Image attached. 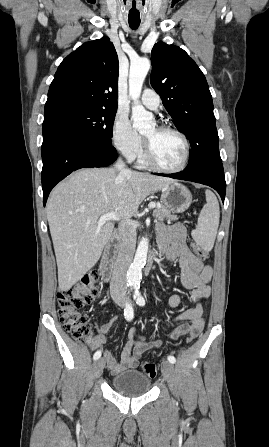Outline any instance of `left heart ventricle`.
Wrapping results in <instances>:
<instances>
[{
    "label": "left heart ventricle",
    "mask_w": 269,
    "mask_h": 447,
    "mask_svg": "<svg viewBox=\"0 0 269 447\" xmlns=\"http://www.w3.org/2000/svg\"><path fill=\"white\" fill-rule=\"evenodd\" d=\"M143 137L150 143L156 161L166 167L178 166L184 157L185 144L176 133L152 126Z\"/></svg>",
    "instance_id": "b2bd125f"
}]
</instances>
